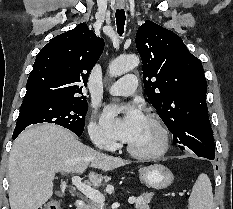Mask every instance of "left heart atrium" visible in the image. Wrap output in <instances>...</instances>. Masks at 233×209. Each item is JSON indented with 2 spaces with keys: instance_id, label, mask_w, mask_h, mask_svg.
<instances>
[{
  "instance_id": "39dd6f15",
  "label": "left heart atrium",
  "mask_w": 233,
  "mask_h": 209,
  "mask_svg": "<svg viewBox=\"0 0 233 209\" xmlns=\"http://www.w3.org/2000/svg\"><path fill=\"white\" fill-rule=\"evenodd\" d=\"M145 121L142 111L134 104L110 105L102 114L105 129L119 140L132 141Z\"/></svg>"
}]
</instances>
